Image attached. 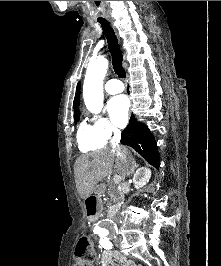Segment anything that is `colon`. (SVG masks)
I'll return each instance as SVG.
<instances>
[{
    "mask_svg": "<svg viewBox=\"0 0 221 266\" xmlns=\"http://www.w3.org/2000/svg\"><path fill=\"white\" fill-rule=\"evenodd\" d=\"M75 258V266H91L95 258V253L90 237L82 236L79 239L75 250Z\"/></svg>",
    "mask_w": 221,
    "mask_h": 266,
    "instance_id": "colon-1",
    "label": "colon"
}]
</instances>
